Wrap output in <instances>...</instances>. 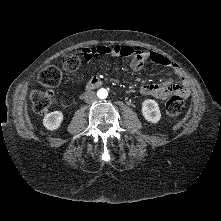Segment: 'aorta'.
I'll return each mask as SVG.
<instances>
[{"label":"aorta","instance_id":"1","mask_svg":"<svg viewBox=\"0 0 221 221\" xmlns=\"http://www.w3.org/2000/svg\"><path fill=\"white\" fill-rule=\"evenodd\" d=\"M97 95H98V97H99L100 99H105V98H107V96H108V92H107L106 89L101 88V89L98 90Z\"/></svg>","mask_w":221,"mask_h":221}]
</instances>
